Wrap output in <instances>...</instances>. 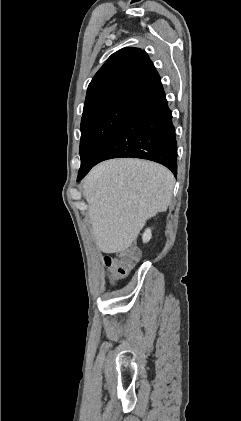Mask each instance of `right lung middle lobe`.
I'll return each mask as SVG.
<instances>
[{"instance_id":"right-lung-middle-lobe-1","label":"right lung middle lobe","mask_w":241,"mask_h":421,"mask_svg":"<svg viewBox=\"0 0 241 421\" xmlns=\"http://www.w3.org/2000/svg\"><path fill=\"white\" fill-rule=\"evenodd\" d=\"M131 102H119L82 116L80 169L91 167L118 130Z\"/></svg>"}]
</instances>
